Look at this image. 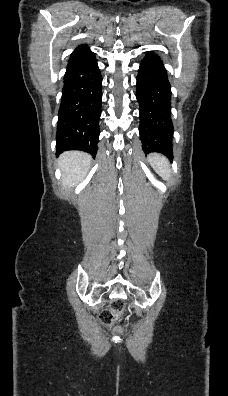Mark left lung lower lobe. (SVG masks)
Here are the masks:
<instances>
[{
    "instance_id": "0a47b994",
    "label": "left lung lower lobe",
    "mask_w": 228,
    "mask_h": 396,
    "mask_svg": "<svg viewBox=\"0 0 228 396\" xmlns=\"http://www.w3.org/2000/svg\"><path fill=\"white\" fill-rule=\"evenodd\" d=\"M136 97L143 151L159 152L172 159L171 86L162 60L154 53L141 62Z\"/></svg>"
}]
</instances>
